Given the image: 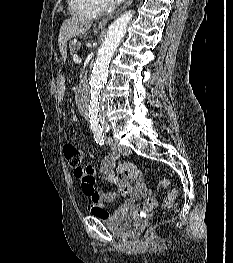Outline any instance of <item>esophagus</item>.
I'll return each instance as SVG.
<instances>
[{"mask_svg":"<svg viewBox=\"0 0 233 263\" xmlns=\"http://www.w3.org/2000/svg\"><path fill=\"white\" fill-rule=\"evenodd\" d=\"M134 0H127L126 3L120 7L119 9H117L115 12H113L112 14H110L109 16H107L106 18L102 19L99 24H98V27L99 28H102L104 27L109 20L115 18L117 15H119L122 11H124L125 9H127L131 3L133 2Z\"/></svg>","mask_w":233,"mask_h":263,"instance_id":"34e87169","label":"esophagus"}]
</instances>
